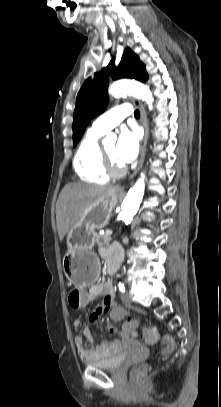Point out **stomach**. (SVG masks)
<instances>
[{
    "instance_id": "stomach-1",
    "label": "stomach",
    "mask_w": 221,
    "mask_h": 407,
    "mask_svg": "<svg viewBox=\"0 0 221 407\" xmlns=\"http://www.w3.org/2000/svg\"><path fill=\"white\" fill-rule=\"evenodd\" d=\"M119 195L114 190L101 194L67 232L68 251L63 257V269L75 286H87L96 281L100 271L98 257L93 252L96 229L110 220Z\"/></svg>"
}]
</instances>
